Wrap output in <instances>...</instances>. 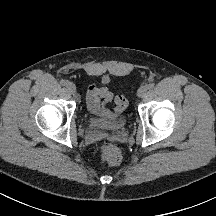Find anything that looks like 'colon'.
I'll list each match as a JSON object with an SVG mask.
<instances>
[{"instance_id": "obj_1", "label": "colon", "mask_w": 216, "mask_h": 216, "mask_svg": "<svg viewBox=\"0 0 216 216\" xmlns=\"http://www.w3.org/2000/svg\"><path fill=\"white\" fill-rule=\"evenodd\" d=\"M127 106V100L123 96L117 97L114 104L115 112H122ZM101 159L109 165H116L121 160L119 149L112 144H104L101 147Z\"/></svg>"}]
</instances>
